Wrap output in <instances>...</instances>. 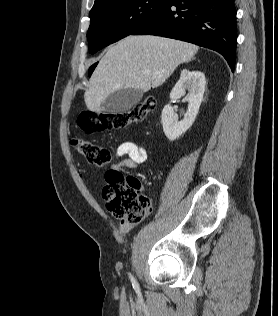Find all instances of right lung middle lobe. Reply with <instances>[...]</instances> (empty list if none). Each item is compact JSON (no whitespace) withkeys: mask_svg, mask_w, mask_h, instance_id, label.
<instances>
[{"mask_svg":"<svg viewBox=\"0 0 278 316\" xmlns=\"http://www.w3.org/2000/svg\"><path fill=\"white\" fill-rule=\"evenodd\" d=\"M165 0H107L90 11L87 32L89 52L94 54L103 47L131 35L146 23ZM89 70V74L92 73Z\"/></svg>","mask_w":278,"mask_h":316,"instance_id":"obj_1","label":"right lung middle lobe"}]
</instances>
